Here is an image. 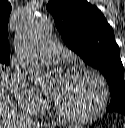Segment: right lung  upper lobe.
Instances as JSON below:
<instances>
[{
	"instance_id": "1",
	"label": "right lung upper lobe",
	"mask_w": 125,
	"mask_h": 128,
	"mask_svg": "<svg viewBox=\"0 0 125 128\" xmlns=\"http://www.w3.org/2000/svg\"><path fill=\"white\" fill-rule=\"evenodd\" d=\"M11 12V4L0 1V58H10L8 42V20Z\"/></svg>"
}]
</instances>
